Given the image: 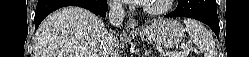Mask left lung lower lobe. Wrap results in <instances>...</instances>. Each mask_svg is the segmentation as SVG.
<instances>
[{
  "instance_id": "1",
  "label": "left lung lower lobe",
  "mask_w": 249,
  "mask_h": 57,
  "mask_svg": "<svg viewBox=\"0 0 249 57\" xmlns=\"http://www.w3.org/2000/svg\"><path fill=\"white\" fill-rule=\"evenodd\" d=\"M165 17H189L207 24L219 37L216 0H179L177 8Z\"/></svg>"
}]
</instances>
